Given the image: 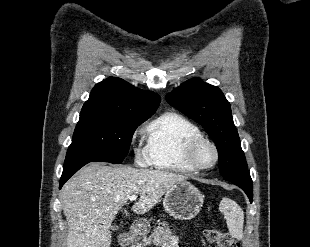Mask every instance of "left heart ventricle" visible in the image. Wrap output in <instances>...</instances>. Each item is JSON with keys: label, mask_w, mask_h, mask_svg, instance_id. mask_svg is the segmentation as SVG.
<instances>
[{"label": "left heart ventricle", "mask_w": 310, "mask_h": 247, "mask_svg": "<svg viewBox=\"0 0 310 247\" xmlns=\"http://www.w3.org/2000/svg\"><path fill=\"white\" fill-rule=\"evenodd\" d=\"M195 160L202 166L210 165L214 161V151L208 144H202L195 153Z\"/></svg>", "instance_id": "b2bd125f"}]
</instances>
